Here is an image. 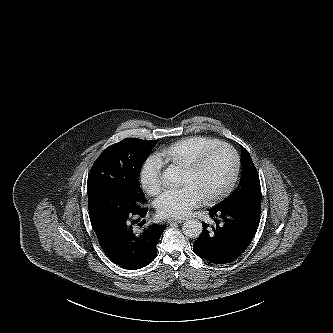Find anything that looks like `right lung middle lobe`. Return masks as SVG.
I'll use <instances>...</instances> for the list:
<instances>
[{
	"instance_id": "1",
	"label": "right lung middle lobe",
	"mask_w": 333,
	"mask_h": 333,
	"mask_svg": "<svg viewBox=\"0 0 333 333\" xmlns=\"http://www.w3.org/2000/svg\"><path fill=\"white\" fill-rule=\"evenodd\" d=\"M155 140L126 138L106 148L93 164L87 181L91 224L126 220L146 202L139 174Z\"/></svg>"
}]
</instances>
